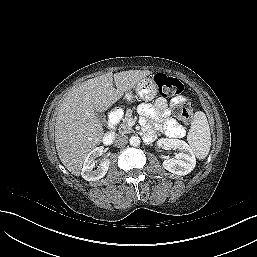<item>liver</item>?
Here are the masks:
<instances>
[{
    "instance_id": "liver-1",
    "label": "liver",
    "mask_w": 257,
    "mask_h": 257,
    "mask_svg": "<svg viewBox=\"0 0 257 257\" xmlns=\"http://www.w3.org/2000/svg\"><path fill=\"white\" fill-rule=\"evenodd\" d=\"M150 74L148 70L109 72L83 82L67 94L58 109L55 142L68 171L79 176L86 156L102 141L104 130L96 112L109 109Z\"/></svg>"
}]
</instances>
